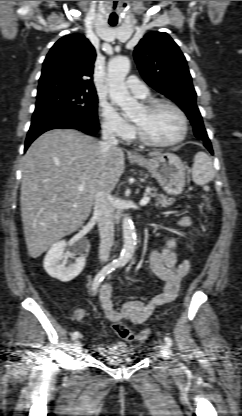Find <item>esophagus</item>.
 I'll use <instances>...</instances> for the list:
<instances>
[{"instance_id":"34e87169","label":"esophagus","mask_w":242,"mask_h":416,"mask_svg":"<svg viewBox=\"0 0 242 416\" xmlns=\"http://www.w3.org/2000/svg\"><path fill=\"white\" fill-rule=\"evenodd\" d=\"M131 156H133V157H138L139 155H138V154H136V153H131Z\"/></svg>"}]
</instances>
